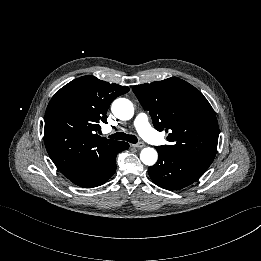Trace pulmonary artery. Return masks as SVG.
<instances>
[{"mask_svg": "<svg viewBox=\"0 0 261 261\" xmlns=\"http://www.w3.org/2000/svg\"><path fill=\"white\" fill-rule=\"evenodd\" d=\"M134 127L138 130L140 135L145 138L149 139L150 135V128H149V123H148V117L147 115L140 111L137 113L134 121H133Z\"/></svg>", "mask_w": 261, "mask_h": 261, "instance_id": "pulmonary-artery-1", "label": "pulmonary artery"}]
</instances>
